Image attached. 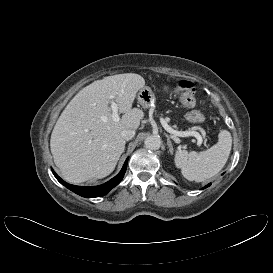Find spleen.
Masks as SVG:
<instances>
[{"label":"spleen","mask_w":273,"mask_h":273,"mask_svg":"<svg viewBox=\"0 0 273 273\" xmlns=\"http://www.w3.org/2000/svg\"><path fill=\"white\" fill-rule=\"evenodd\" d=\"M231 147L232 137L230 132L222 130L215 145L199 153L178 149L174 162L187 180L203 182L222 170L228 160Z\"/></svg>","instance_id":"3e777b00"}]
</instances>
